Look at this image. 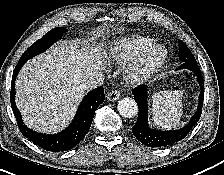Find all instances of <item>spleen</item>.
<instances>
[{"label": "spleen", "instance_id": "1", "mask_svg": "<svg viewBox=\"0 0 224 175\" xmlns=\"http://www.w3.org/2000/svg\"><path fill=\"white\" fill-rule=\"evenodd\" d=\"M182 91H162L152 96V118L154 122L163 128L176 127L180 121L182 112Z\"/></svg>", "mask_w": 224, "mask_h": 175}]
</instances>
